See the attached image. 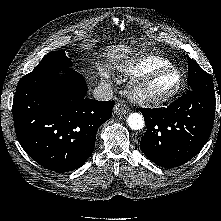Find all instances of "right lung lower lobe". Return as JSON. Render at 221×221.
I'll list each match as a JSON object with an SVG mask.
<instances>
[{
  "instance_id": "1",
  "label": "right lung lower lobe",
  "mask_w": 221,
  "mask_h": 221,
  "mask_svg": "<svg viewBox=\"0 0 221 221\" xmlns=\"http://www.w3.org/2000/svg\"><path fill=\"white\" fill-rule=\"evenodd\" d=\"M86 93L83 77L70 67L31 72L18 82L15 132L25 152L46 169L81 167L94 149L98 128L112 116L114 101L88 99Z\"/></svg>"
}]
</instances>
